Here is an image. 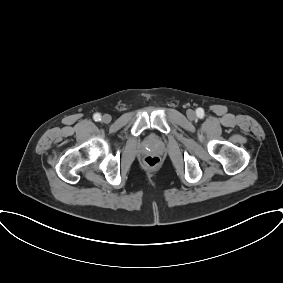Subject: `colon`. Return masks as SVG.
Listing matches in <instances>:
<instances>
[{
  "mask_svg": "<svg viewBox=\"0 0 283 283\" xmlns=\"http://www.w3.org/2000/svg\"><path fill=\"white\" fill-rule=\"evenodd\" d=\"M160 160L157 156L154 155H149L147 157H145L144 159V163L148 166V167H156L159 164Z\"/></svg>",
  "mask_w": 283,
  "mask_h": 283,
  "instance_id": "colon-1",
  "label": "colon"
}]
</instances>
